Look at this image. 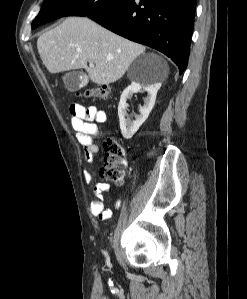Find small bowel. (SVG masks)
Segmentation results:
<instances>
[{
	"mask_svg": "<svg viewBox=\"0 0 247 299\" xmlns=\"http://www.w3.org/2000/svg\"><path fill=\"white\" fill-rule=\"evenodd\" d=\"M71 126L80 144L84 146V157L89 163H93L99 147L94 142V137L99 133V124L105 123L108 119L104 110L96 106L85 107L80 104L70 106ZM84 178L87 183L92 181V174L84 171ZM109 191V185L105 182H98L94 186L95 199L91 202L92 214L100 220H108L112 216V211L105 208L103 195ZM120 201L117 200L115 206L118 208Z\"/></svg>",
	"mask_w": 247,
	"mask_h": 299,
	"instance_id": "c3829d8e",
	"label": "small bowel"
}]
</instances>
